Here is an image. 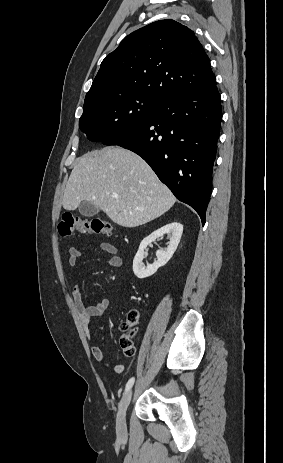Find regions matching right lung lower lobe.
<instances>
[{"label": "right lung lower lobe", "mask_w": 283, "mask_h": 463, "mask_svg": "<svg viewBox=\"0 0 283 463\" xmlns=\"http://www.w3.org/2000/svg\"><path fill=\"white\" fill-rule=\"evenodd\" d=\"M221 119L215 82L159 101L150 117L103 144L141 156L177 199L196 210L204 225Z\"/></svg>", "instance_id": "98d812e1"}]
</instances>
